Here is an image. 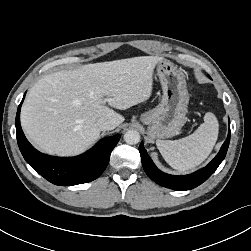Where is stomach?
I'll return each instance as SVG.
<instances>
[{"instance_id":"0dacf381","label":"stomach","mask_w":251,"mask_h":251,"mask_svg":"<svg viewBox=\"0 0 251 251\" xmlns=\"http://www.w3.org/2000/svg\"><path fill=\"white\" fill-rule=\"evenodd\" d=\"M157 75L162 86L159 105L140 116L148 125L147 135L151 140L173 137L179 134L186 121L189 93L184 74L169 60L157 64Z\"/></svg>"}]
</instances>
